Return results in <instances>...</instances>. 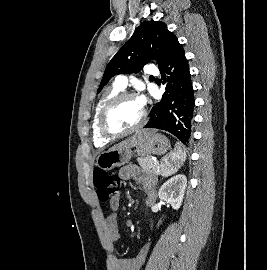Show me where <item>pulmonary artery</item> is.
<instances>
[{
    "mask_svg": "<svg viewBox=\"0 0 267 270\" xmlns=\"http://www.w3.org/2000/svg\"><path fill=\"white\" fill-rule=\"evenodd\" d=\"M146 73L151 75L158 74V69L153 65H148L146 68ZM128 78L126 75H118L115 79V84L120 87L121 89H124L127 86Z\"/></svg>",
    "mask_w": 267,
    "mask_h": 270,
    "instance_id": "obj_1",
    "label": "pulmonary artery"
}]
</instances>
